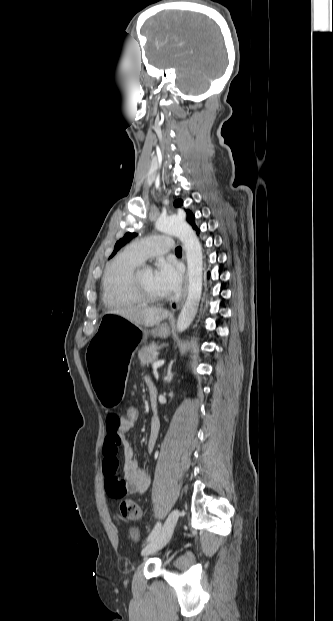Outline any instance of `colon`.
Wrapping results in <instances>:
<instances>
[{
	"mask_svg": "<svg viewBox=\"0 0 333 621\" xmlns=\"http://www.w3.org/2000/svg\"><path fill=\"white\" fill-rule=\"evenodd\" d=\"M124 418L130 424H135L139 419V409L133 404H127L124 407ZM121 515L131 521H136L141 516L139 506L132 500H123L120 503Z\"/></svg>",
	"mask_w": 333,
	"mask_h": 621,
	"instance_id": "colon-1",
	"label": "colon"
}]
</instances>
